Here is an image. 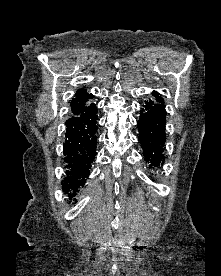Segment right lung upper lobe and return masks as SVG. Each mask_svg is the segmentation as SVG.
Listing matches in <instances>:
<instances>
[{"mask_svg":"<svg viewBox=\"0 0 221 276\" xmlns=\"http://www.w3.org/2000/svg\"><path fill=\"white\" fill-rule=\"evenodd\" d=\"M93 98L92 94H88L87 90L84 88L79 89L75 97L72 99L70 107L72 114H78L82 112L88 105L91 103L89 102Z\"/></svg>","mask_w":221,"mask_h":276,"instance_id":"obj_1","label":"right lung upper lobe"}]
</instances>
